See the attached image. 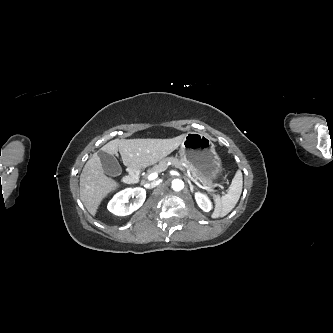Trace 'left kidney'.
<instances>
[{
    "label": "left kidney",
    "instance_id": "5707ae66",
    "mask_svg": "<svg viewBox=\"0 0 333 333\" xmlns=\"http://www.w3.org/2000/svg\"><path fill=\"white\" fill-rule=\"evenodd\" d=\"M195 200L198 206L205 212H209L212 208L211 201L205 194L195 193Z\"/></svg>",
    "mask_w": 333,
    "mask_h": 333
}]
</instances>
